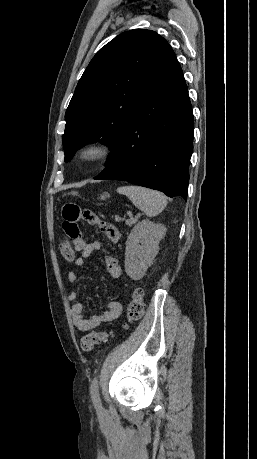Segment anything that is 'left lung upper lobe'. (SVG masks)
<instances>
[{
    "label": "left lung upper lobe",
    "mask_w": 257,
    "mask_h": 459,
    "mask_svg": "<svg viewBox=\"0 0 257 459\" xmlns=\"http://www.w3.org/2000/svg\"><path fill=\"white\" fill-rule=\"evenodd\" d=\"M172 52L156 32L133 29L121 33L96 53L65 114L66 162L79 148L97 141L109 146L113 153L123 122Z\"/></svg>",
    "instance_id": "5c2ea615"
}]
</instances>
